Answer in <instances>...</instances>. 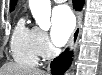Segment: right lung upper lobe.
<instances>
[{
	"label": "right lung upper lobe",
	"instance_id": "obj_1",
	"mask_svg": "<svg viewBox=\"0 0 102 75\" xmlns=\"http://www.w3.org/2000/svg\"><path fill=\"white\" fill-rule=\"evenodd\" d=\"M15 5H16V0H10V11L14 9Z\"/></svg>",
	"mask_w": 102,
	"mask_h": 75
}]
</instances>
